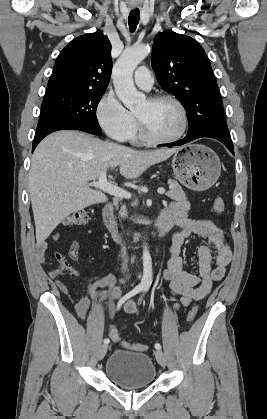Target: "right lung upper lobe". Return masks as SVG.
<instances>
[{"mask_svg":"<svg viewBox=\"0 0 267 419\" xmlns=\"http://www.w3.org/2000/svg\"><path fill=\"white\" fill-rule=\"evenodd\" d=\"M112 72L111 43L101 32L73 39L56 59L47 85L60 90L105 91Z\"/></svg>","mask_w":267,"mask_h":419,"instance_id":"1","label":"right lung upper lobe"}]
</instances>
